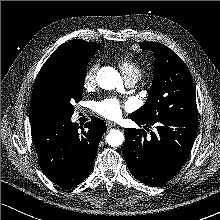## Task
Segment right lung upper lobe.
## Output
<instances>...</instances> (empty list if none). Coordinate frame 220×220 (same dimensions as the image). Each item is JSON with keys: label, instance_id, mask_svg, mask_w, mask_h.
<instances>
[{"label": "right lung upper lobe", "instance_id": "cb5924a9", "mask_svg": "<svg viewBox=\"0 0 220 220\" xmlns=\"http://www.w3.org/2000/svg\"><path fill=\"white\" fill-rule=\"evenodd\" d=\"M101 46L96 42H87L80 39L70 40L55 50L48 60L42 66L32 93L30 103V121L31 124L50 116L48 106L44 100V91L47 85V78L51 69L64 58L82 52H96Z\"/></svg>", "mask_w": 220, "mask_h": 220}]
</instances>
